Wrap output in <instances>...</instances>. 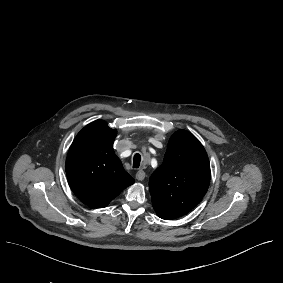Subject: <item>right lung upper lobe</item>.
Returning <instances> with one entry per match:
<instances>
[{
	"mask_svg": "<svg viewBox=\"0 0 283 283\" xmlns=\"http://www.w3.org/2000/svg\"><path fill=\"white\" fill-rule=\"evenodd\" d=\"M117 131L103 120L84 127L75 137L66 159V174L75 195L86 205L106 207L135 180L115 155Z\"/></svg>",
	"mask_w": 283,
	"mask_h": 283,
	"instance_id": "cb5924a9",
	"label": "right lung upper lobe"
}]
</instances>
